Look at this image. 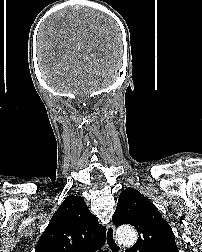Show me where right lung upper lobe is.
<instances>
[{
    "label": "right lung upper lobe",
    "instance_id": "right-lung-upper-lobe-1",
    "mask_svg": "<svg viewBox=\"0 0 202 252\" xmlns=\"http://www.w3.org/2000/svg\"><path fill=\"white\" fill-rule=\"evenodd\" d=\"M106 229L80 196L69 195L54 213L35 252H95L103 246Z\"/></svg>",
    "mask_w": 202,
    "mask_h": 252
}]
</instances>
